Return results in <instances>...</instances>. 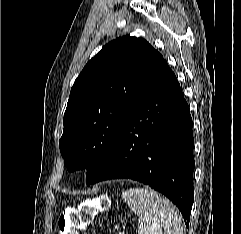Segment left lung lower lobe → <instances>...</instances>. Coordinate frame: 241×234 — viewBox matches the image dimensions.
Wrapping results in <instances>:
<instances>
[{"label": "left lung lower lobe", "mask_w": 241, "mask_h": 234, "mask_svg": "<svg viewBox=\"0 0 241 234\" xmlns=\"http://www.w3.org/2000/svg\"><path fill=\"white\" fill-rule=\"evenodd\" d=\"M192 118L165 60L131 106L104 165L91 180L129 178L168 197L189 226L194 201Z\"/></svg>", "instance_id": "0a47b994"}]
</instances>
